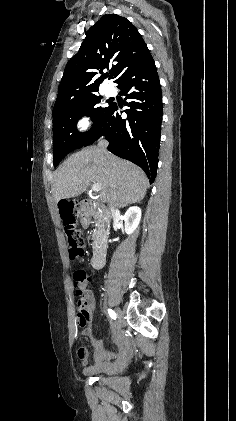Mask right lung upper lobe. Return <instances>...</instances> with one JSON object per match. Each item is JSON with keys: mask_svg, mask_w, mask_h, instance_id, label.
<instances>
[{"mask_svg": "<svg viewBox=\"0 0 236 421\" xmlns=\"http://www.w3.org/2000/svg\"><path fill=\"white\" fill-rule=\"evenodd\" d=\"M86 34L65 68L53 110L98 92L105 77H98V73L104 69L112 67L110 79L116 82L126 69L150 55L136 27L117 14L103 15Z\"/></svg>", "mask_w": 236, "mask_h": 421, "instance_id": "cb5924a9", "label": "right lung upper lobe"}]
</instances>
